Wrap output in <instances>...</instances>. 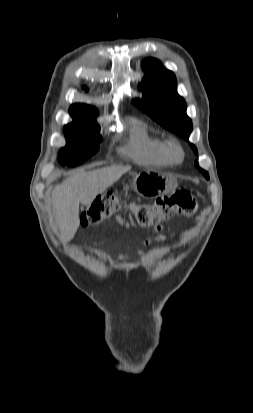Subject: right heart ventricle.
Here are the masks:
<instances>
[{
	"label": "right heart ventricle",
	"instance_id": "e07e8e85",
	"mask_svg": "<svg viewBox=\"0 0 253 413\" xmlns=\"http://www.w3.org/2000/svg\"><path fill=\"white\" fill-rule=\"evenodd\" d=\"M122 152L136 163L145 165L168 166L175 160L168 143L151 135L145 125L137 120L132 121L129 141Z\"/></svg>",
	"mask_w": 253,
	"mask_h": 413
}]
</instances>
